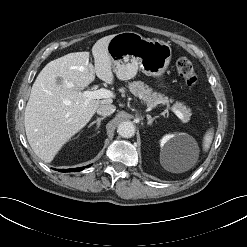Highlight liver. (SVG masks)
Here are the masks:
<instances>
[{
	"instance_id": "6515ba94",
	"label": "liver",
	"mask_w": 247,
	"mask_h": 247,
	"mask_svg": "<svg viewBox=\"0 0 247 247\" xmlns=\"http://www.w3.org/2000/svg\"><path fill=\"white\" fill-rule=\"evenodd\" d=\"M114 35L99 39L89 52L69 53L49 62L38 74L25 108V131L34 153L51 162L62 146L91 120L100 105L111 98L92 99L85 104L82 90L94 81V73L112 84V62L108 44Z\"/></svg>"
}]
</instances>
